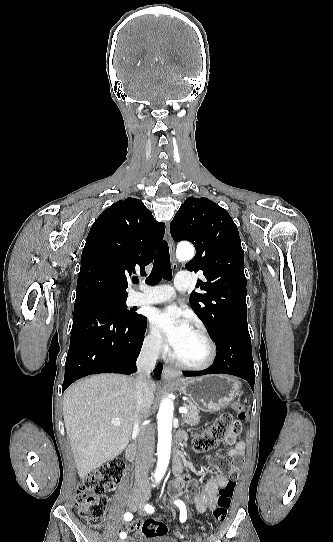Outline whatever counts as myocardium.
<instances>
[{
    "mask_svg": "<svg viewBox=\"0 0 333 542\" xmlns=\"http://www.w3.org/2000/svg\"><path fill=\"white\" fill-rule=\"evenodd\" d=\"M200 337L206 342L208 346V357L207 359L202 363H187L184 362L178 358H176L171 351H168V357L169 359L178 367L186 370H192V371H203L208 368H210L216 360L217 357V346L211 335L208 333V331L200 325H196L193 328Z\"/></svg>",
    "mask_w": 333,
    "mask_h": 542,
    "instance_id": "1",
    "label": "myocardium"
}]
</instances>
